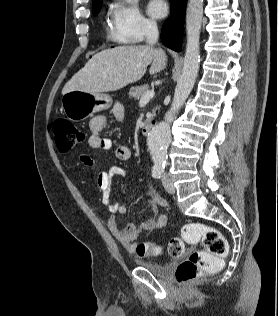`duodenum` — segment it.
Segmentation results:
<instances>
[{
	"label": "duodenum",
	"mask_w": 278,
	"mask_h": 316,
	"mask_svg": "<svg viewBox=\"0 0 278 316\" xmlns=\"http://www.w3.org/2000/svg\"><path fill=\"white\" fill-rule=\"evenodd\" d=\"M155 126L154 122L146 123L142 128V133L144 135H149Z\"/></svg>",
	"instance_id": "obj_1"
}]
</instances>
